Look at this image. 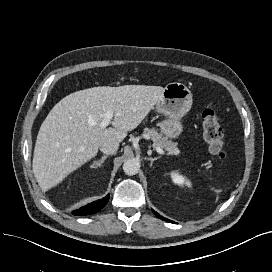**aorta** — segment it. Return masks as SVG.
<instances>
[{
	"instance_id": "obj_1",
	"label": "aorta",
	"mask_w": 272,
	"mask_h": 272,
	"mask_svg": "<svg viewBox=\"0 0 272 272\" xmlns=\"http://www.w3.org/2000/svg\"><path fill=\"white\" fill-rule=\"evenodd\" d=\"M139 169H140V163L136 159L126 160L123 164V171L125 172V174L130 176L137 174Z\"/></svg>"
}]
</instances>
